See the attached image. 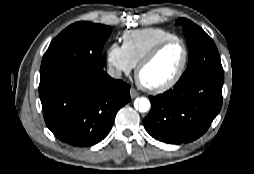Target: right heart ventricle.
<instances>
[{"instance_id":"right-heart-ventricle-1","label":"right heart ventricle","mask_w":254,"mask_h":174,"mask_svg":"<svg viewBox=\"0 0 254 174\" xmlns=\"http://www.w3.org/2000/svg\"><path fill=\"white\" fill-rule=\"evenodd\" d=\"M175 37L177 35L167 29L153 27L125 31L121 39L127 56L135 66L155 45Z\"/></svg>"}]
</instances>
